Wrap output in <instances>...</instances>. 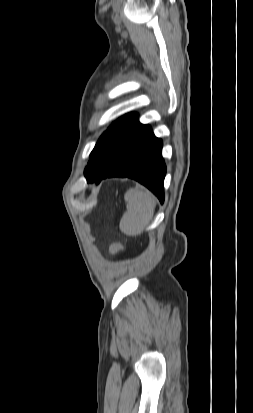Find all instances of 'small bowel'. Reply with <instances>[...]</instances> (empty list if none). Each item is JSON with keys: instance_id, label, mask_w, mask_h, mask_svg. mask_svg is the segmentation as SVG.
<instances>
[{"instance_id": "obj_1", "label": "small bowel", "mask_w": 253, "mask_h": 413, "mask_svg": "<svg viewBox=\"0 0 253 413\" xmlns=\"http://www.w3.org/2000/svg\"><path fill=\"white\" fill-rule=\"evenodd\" d=\"M120 249H121V245H120V244H113V245L110 246L109 251H110L111 254H115V253H117Z\"/></svg>"}]
</instances>
